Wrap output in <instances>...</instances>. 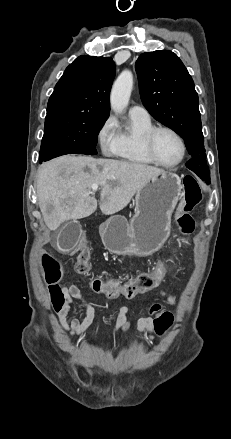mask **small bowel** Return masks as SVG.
Returning a JSON list of instances; mask_svg holds the SVG:
<instances>
[{"mask_svg":"<svg viewBox=\"0 0 231 439\" xmlns=\"http://www.w3.org/2000/svg\"><path fill=\"white\" fill-rule=\"evenodd\" d=\"M62 294L64 295V307L62 308L61 313H57L59 321L63 328L68 331L71 336L84 338L87 328L92 324L94 320L95 308L84 298L81 290L76 285H68L62 287ZM160 295L166 298L169 305L174 306L176 304V298L174 295L166 292L165 290H160ZM74 300L79 301L83 305L85 309V316L82 320L73 319L68 324L66 321V316ZM159 310L160 306L154 305L151 308V313L157 314ZM153 321L154 319L152 317H143L137 321V330L139 331L140 339L144 338L143 333L145 331L150 332V335L147 338V346H151L154 340V335L152 334ZM130 326V309L127 306H122L119 309V313L117 315L115 325L111 334L106 336L104 340L106 342H111L115 340L116 337H121L129 330Z\"/></svg>","mask_w":231,"mask_h":439,"instance_id":"c3829d8e","label":"small bowel"}]
</instances>
